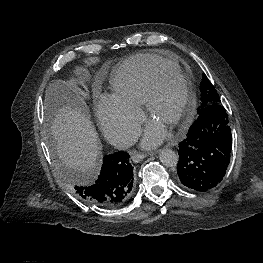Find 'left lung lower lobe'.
I'll return each instance as SVG.
<instances>
[{
  "label": "left lung lower lobe",
  "instance_id": "obj_1",
  "mask_svg": "<svg viewBox=\"0 0 263 263\" xmlns=\"http://www.w3.org/2000/svg\"><path fill=\"white\" fill-rule=\"evenodd\" d=\"M232 134L228 115L219 104L205 108L179 143L177 173L181 183L207 191L223 179L230 162Z\"/></svg>",
  "mask_w": 263,
  "mask_h": 263
}]
</instances>
